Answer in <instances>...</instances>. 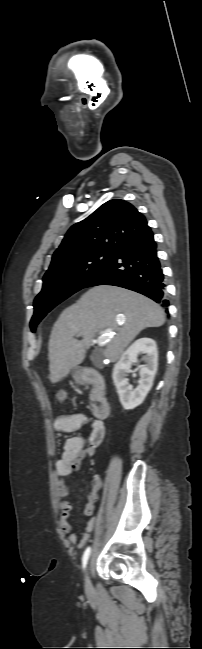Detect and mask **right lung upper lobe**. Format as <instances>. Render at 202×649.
Instances as JSON below:
<instances>
[{"label":"right lung upper lobe","instance_id":"1","mask_svg":"<svg viewBox=\"0 0 202 649\" xmlns=\"http://www.w3.org/2000/svg\"><path fill=\"white\" fill-rule=\"evenodd\" d=\"M148 230L146 218L132 204L121 199L110 200L68 230L47 272L86 252L115 253L126 242Z\"/></svg>","mask_w":202,"mask_h":649}]
</instances>
